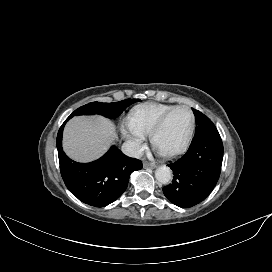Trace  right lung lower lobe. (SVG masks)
I'll return each instance as SVG.
<instances>
[{
    "label": "right lung lower lobe",
    "instance_id": "obj_1",
    "mask_svg": "<svg viewBox=\"0 0 272 272\" xmlns=\"http://www.w3.org/2000/svg\"><path fill=\"white\" fill-rule=\"evenodd\" d=\"M70 118L65 120L57 135L61 176L68 190L79 200L95 207H105L124 193L130 174L142 169V162L127 157L114 146L96 161H72L62 149V132Z\"/></svg>",
    "mask_w": 272,
    "mask_h": 272
}]
</instances>
